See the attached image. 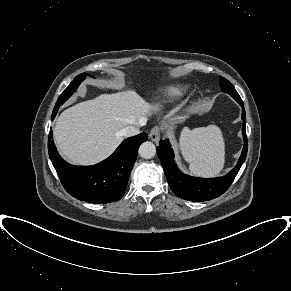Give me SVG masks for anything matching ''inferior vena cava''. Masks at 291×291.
I'll use <instances>...</instances> for the list:
<instances>
[{"label": "inferior vena cava", "mask_w": 291, "mask_h": 291, "mask_svg": "<svg viewBox=\"0 0 291 291\" xmlns=\"http://www.w3.org/2000/svg\"><path fill=\"white\" fill-rule=\"evenodd\" d=\"M144 124L145 122L140 120L136 125H129L122 130V135L126 137L134 136L139 133V127Z\"/></svg>", "instance_id": "602c4592"}]
</instances>
